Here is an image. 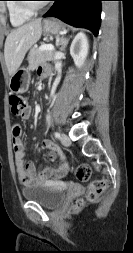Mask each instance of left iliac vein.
Masks as SVG:
<instances>
[{"mask_svg":"<svg viewBox=\"0 0 133 253\" xmlns=\"http://www.w3.org/2000/svg\"><path fill=\"white\" fill-rule=\"evenodd\" d=\"M60 140L64 146H70L71 144V140L66 134H61Z\"/></svg>","mask_w":133,"mask_h":253,"instance_id":"4c4485c4","label":"left iliac vein"}]
</instances>
